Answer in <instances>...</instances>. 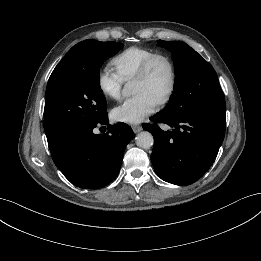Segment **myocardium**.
Listing matches in <instances>:
<instances>
[{"mask_svg": "<svg viewBox=\"0 0 261 261\" xmlns=\"http://www.w3.org/2000/svg\"><path fill=\"white\" fill-rule=\"evenodd\" d=\"M160 60L165 61L170 70V82H169L168 89L157 101V104L164 105L172 98V96L176 90L177 79H178L176 65H175L173 59L169 55H167L165 53H156L155 55L151 56L143 64V66L141 67V69L139 70L137 75L134 77V79L135 80L147 79L150 76L154 65Z\"/></svg>", "mask_w": 261, "mask_h": 261, "instance_id": "obj_1", "label": "myocardium"}]
</instances>
